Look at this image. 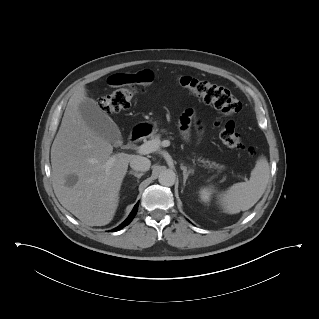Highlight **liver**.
<instances>
[{
	"mask_svg": "<svg viewBox=\"0 0 319 319\" xmlns=\"http://www.w3.org/2000/svg\"><path fill=\"white\" fill-rule=\"evenodd\" d=\"M86 99V90L81 87L68 101L51 147L52 185L62 206L81 222L104 226L115 215L122 181L134 155H112L111 143L86 125L79 111ZM110 159L113 162L108 164ZM70 175L77 181L66 186Z\"/></svg>",
	"mask_w": 319,
	"mask_h": 319,
	"instance_id": "6515ba94",
	"label": "liver"
}]
</instances>
